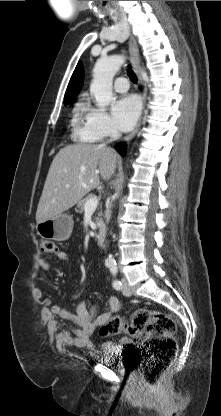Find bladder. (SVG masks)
I'll list each match as a JSON object with an SVG mask.
<instances>
[{
	"mask_svg": "<svg viewBox=\"0 0 221 416\" xmlns=\"http://www.w3.org/2000/svg\"><path fill=\"white\" fill-rule=\"evenodd\" d=\"M101 362L108 366H114L117 370H122L125 368L124 365H116L114 363V354L108 351L106 348H103Z\"/></svg>",
	"mask_w": 221,
	"mask_h": 416,
	"instance_id": "bladder-1",
	"label": "bladder"
}]
</instances>
